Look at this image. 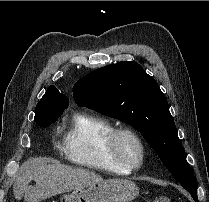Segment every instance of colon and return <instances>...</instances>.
Masks as SVG:
<instances>
[{"label":"colon","instance_id":"1","mask_svg":"<svg viewBox=\"0 0 209 202\" xmlns=\"http://www.w3.org/2000/svg\"><path fill=\"white\" fill-rule=\"evenodd\" d=\"M149 202H171L169 197L166 196H159V197H155L154 199H152Z\"/></svg>","mask_w":209,"mask_h":202}]
</instances>
